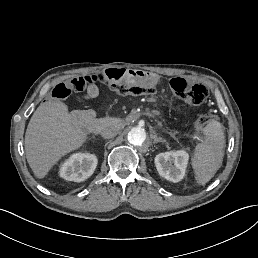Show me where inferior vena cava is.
<instances>
[{"label": "inferior vena cava", "mask_w": 258, "mask_h": 258, "mask_svg": "<svg viewBox=\"0 0 258 258\" xmlns=\"http://www.w3.org/2000/svg\"><path fill=\"white\" fill-rule=\"evenodd\" d=\"M118 130L114 124L107 125L101 130V136L106 139L113 138L117 135Z\"/></svg>", "instance_id": "1"}]
</instances>
